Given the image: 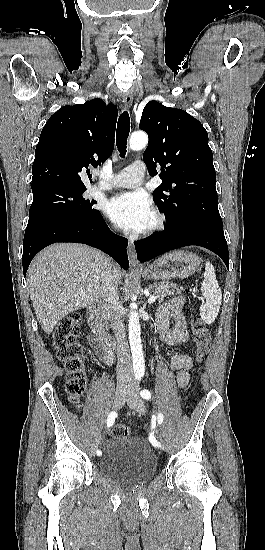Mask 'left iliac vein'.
Wrapping results in <instances>:
<instances>
[{"label": "left iliac vein", "mask_w": 265, "mask_h": 550, "mask_svg": "<svg viewBox=\"0 0 265 550\" xmlns=\"http://www.w3.org/2000/svg\"><path fill=\"white\" fill-rule=\"evenodd\" d=\"M127 404L129 407L139 413L145 412V405L138 393L135 391H129L127 398H126ZM163 449H165V446H162Z\"/></svg>", "instance_id": "left-iliac-vein-1"}]
</instances>
